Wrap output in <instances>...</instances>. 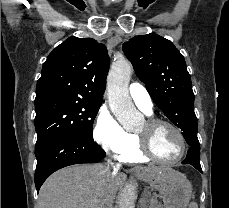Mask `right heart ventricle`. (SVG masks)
Segmentation results:
<instances>
[{"label":"right heart ventricle","instance_id":"e07e8e85","mask_svg":"<svg viewBox=\"0 0 229 208\" xmlns=\"http://www.w3.org/2000/svg\"><path fill=\"white\" fill-rule=\"evenodd\" d=\"M134 138L135 141V147L133 150L123 153L121 155V157L124 160H128V161H136V160H143L145 158H143V153H140V148H138V143H142L140 138L136 135L131 134Z\"/></svg>","mask_w":229,"mask_h":208}]
</instances>
